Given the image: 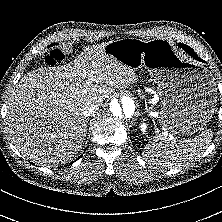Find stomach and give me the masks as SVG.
Returning <instances> with one entry per match:
<instances>
[{
	"label": "stomach",
	"instance_id": "0dacf381",
	"mask_svg": "<svg viewBox=\"0 0 222 222\" xmlns=\"http://www.w3.org/2000/svg\"><path fill=\"white\" fill-rule=\"evenodd\" d=\"M103 52L132 70L144 67L157 81L159 123L165 130L193 134L211 119L217 103L214 79L207 68L181 57L172 41L124 38L108 42Z\"/></svg>",
	"mask_w": 222,
	"mask_h": 222
}]
</instances>
